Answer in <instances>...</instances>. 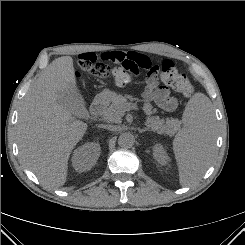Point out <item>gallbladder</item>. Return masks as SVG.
Returning a JSON list of instances; mask_svg holds the SVG:
<instances>
[{
	"instance_id": "gallbladder-1",
	"label": "gallbladder",
	"mask_w": 245,
	"mask_h": 245,
	"mask_svg": "<svg viewBox=\"0 0 245 245\" xmlns=\"http://www.w3.org/2000/svg\"><path fill=\"white\" fill-rule=\"evenodd\" d=\"M58 102L76 116L83 117L87 113L85 101L76 89L61 93Z\"/></svg>"
}]
</instances>
